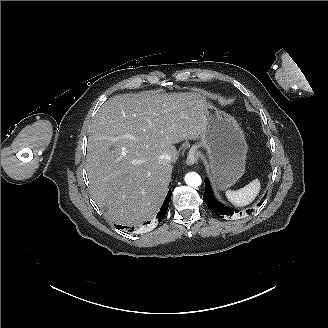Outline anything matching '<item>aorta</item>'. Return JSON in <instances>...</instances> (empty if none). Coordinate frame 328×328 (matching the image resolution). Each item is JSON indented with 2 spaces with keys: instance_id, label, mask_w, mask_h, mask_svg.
<instances>
[{
  "instance_id": "obj_1",
  "label": "aorta",
  "mask_w": 328,
  "mask_h": 328,
  "mask_svg": "<svg viewBox=\"0 0 328 328\" xmlns=\"http://www.w3.org/2000/svg\"><path fill=\"white\" fill-rule=\"evenodd\" d=\"M185 182L188 186L198 187L202 183V179L198 173L189 172L185 175Z\"/></svg>"
}]
</instances>
